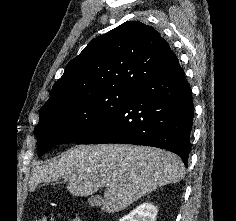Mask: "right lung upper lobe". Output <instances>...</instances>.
I'll list each match as a JSON object with an SVG mask.
<instances>
[{
	"label": "right lung upper lobe",
	"mask_w": 236,
	"mask_h": 221,
	"mask_svg": "<svg viewBox=\"0 0 236 221\" xmlns=\"http://www.w3.org/2000/svg\"><path fill=\"white\" fill-rule=\"evenodd\" d=\"M176 61L167 41L153 27L127 21L91 40L68 63L43 107L99 92L134 90Z\"/></svg>",
	"instance_id": "1"
}]
</instances>
